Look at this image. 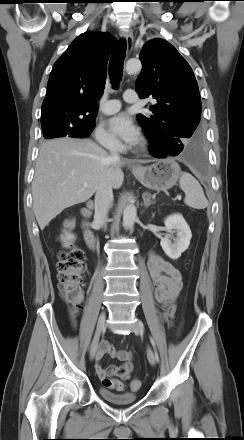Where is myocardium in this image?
Here are the masks:
<instances>
[{
    "instance_id": "myocardium-1",
    "label": "myocardium",
    "mask_w": 244,
    "mask_h": 440,
    "mask_svg": "<svg viewBox=\"0 0 244 440\" xmlns=\"http://www.w3.org/2000/svg\"><path fill=\"white\" fill-rule=\"evenodd\" d=\"M138 148L139 149H144L148 146V140L146 137H142L139 142H138Z\"/></svg>"
}]
</instances>
